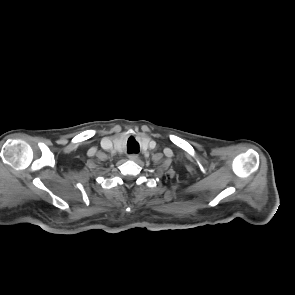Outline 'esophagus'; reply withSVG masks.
<instances>
[{
  "mask_svg": "<svg viewBox=\"0 0 295 295\" xmlns=\"http://www.w3.org/2000/svg\"><path fill=\"white\" fill-rule=\"evenodd\" d=\"M128 158H129L130 160H132V161H136V160L138 159V155H137V154H130V155L128 156Z\"/></svg>",
  "mask_w": 295,
  "mask_h": 295,
  "instance_id": "34e87169",
  "label": "esophagus"
}]
</instances>
